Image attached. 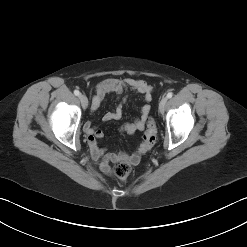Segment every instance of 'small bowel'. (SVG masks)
Wrapping results in <instances>:
<instances>
[{
  "mask_svg": "<svg viewBox=\"0 0 247 247\" xmlns=\"http://www.w3.org/2000/svg\"><path fill=\"white\" fill-rule=\"evenodd\" d=\"M129 90L141 94L146 102H149L152 99L153 88L144 80L133 78H109L97 85L95 94L92 97L91 111L95 112L108 94L115 93L121 96L124 92ZM124 102L125 98L123 97L122 102L113 111L107 112L103 119L105 121L120 120L123 116L122 104ZM149 113L150 106L147 104L142 106L138 118L123 124L121 130L129 134L143 130ZM83 129L88 138L91 155L104 173H110L111 162L128 161L132 165H136L139 162L140 156L136 152H108L100 147L98 139H102L104 133L102 130L96 129L90 121H87L84 124Z\"/></svg>",
  "mask_w": 247,
  "mask_h": 247,
  "instance_id": "small-bowel-1",
  "label": "small bowel"
}]
</instances>
